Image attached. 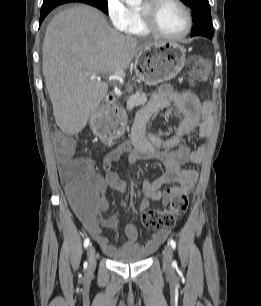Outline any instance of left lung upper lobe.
I'll return each instance as SVG.
<instances>
[{
	"instance_id": "obj_1",
	"label": "left lung upper lobe",
	"mask_w": 261,
	"mask_h": 306,
	"mask_svg": "<svg viewBox=\"0 0 261 306\" xmlns=\"http://www.w3.org/2000/svg\"><path fill=\"white\" fill-rule=\"evenodd\" d=\"M192 11L193 27L191 36L213 35L210 5L208 0H181Z\"/></svg>"
}]
</instances>
